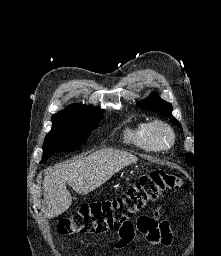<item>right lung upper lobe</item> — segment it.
Masks as SVG:
<instances>
[{"instance_id": "right-lung-upper-lobe-1", "label": "right lung upper lobe", "mask_w": 221, "mask_h": 256, "mask_svg": "<svg viewBox=\"0 0 221 256\" xmlns=\"http://www.w3.org/2000/svg\"><path fill=\"white\" fill-rule=\"evenodd\" d=\"M85 106L86 105H82V104H72V105L68 106L66 109L61 110V111H59L58 113H56L54 115H63V114L76 113Z\"/></svg>"}]
</instances>
